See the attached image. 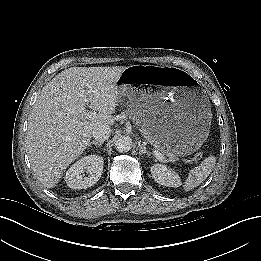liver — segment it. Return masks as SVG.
Wrapping results in <instances>:
<instances>
[{
	"label": "liver",
	"mask_w": 261,
	"mask_h": 261,
	"mask_svg": "<svg viewBox=\"0 0 261 261\" xmlns=\"http://www.w3.org/2000/svg\"><path fill=\"white\" fill-rule=\"evenodd\" d=\"M126 68L71 67L39 92L29 115L26 142L33 172L44 187L56 186L90 144L95 128L114 125L116 83Z\"/></svg>",
	"instance_id": "obj_1"
}]
</instances>
